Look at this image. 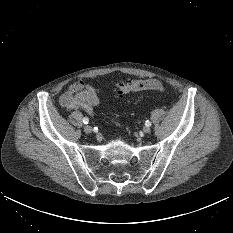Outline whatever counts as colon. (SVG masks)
I'll list each match as a JSON object with an SVG mask.
<instances>
[{"label":"colon","mask_w":233,"mask_h":233,"mask_svg":"<svg viewBox=\"0 0 233 233\" xmlns=\"http://www.w3.org/2000/svg\"><path fill=\"white\" fill-rule=\"evenodd\" d=\"M141 90H153L164 91L165 88L158 80H128L126 82H118L114 85V93L118 97H122L126 94L141 91Z\"/></svg>","instance_id":"1"}]
</instances>
